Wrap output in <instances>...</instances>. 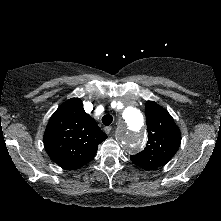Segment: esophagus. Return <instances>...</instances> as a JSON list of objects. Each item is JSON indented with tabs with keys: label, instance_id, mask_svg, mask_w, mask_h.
I'll use <instances>...</instances> for the list:
<instances>
[{
	"label": "esophagus",
	"instance_id": "esophagus-1",
	"mask_svg": "<svg viewBox=\"0 0 221 221\" xmlns=\"http://www.w3.org/2000/svg\"><path fill=\"white\" fill-rule=\"evenodd\" d=\"M111 130H112V127H111V126H106V127L104 128V131H105L106 134H109V133L111 132Z\"/></svg>",
	"mask_w": 221,
	"mask_h": 221
}]
</instances>
